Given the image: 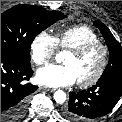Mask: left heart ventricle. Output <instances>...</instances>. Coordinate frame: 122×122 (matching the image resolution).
<instances>
[{"mask_svg":"<svg viewBox=\"0 0 122 122\" xmlns=\"http://www.w3.org/2000/svg\"><path fill=\"white\" fill-rule=\"evenodd\" d=\"M101 59L102 51L99 48H95L82 57H76L69 52L64 58V64L72 67L77 81L86 80L97 71Z\"/></svg>","mask_w":122,"mask_h":122,"instance_id":"1","label":"left heart ventricle"}]
</instances>
